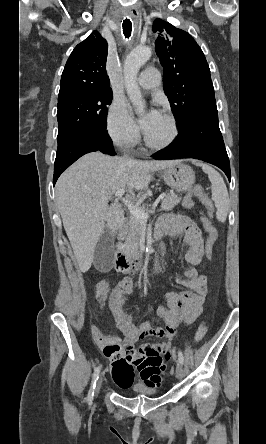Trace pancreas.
Returning <instances> with one entry per match:
<instances>
[{
  "label": "pancreas",
  "instance_id": "pancreas-1",
  "mask_svg": "<svg viewBox=\"0 0 266 444\" xmlns=\"http://www.w3.org/2000/svg\"><path fill=\"white\" fill-rule=\"evenodd\" d=\"M181 198L178 197L173 191L163 198L161 203V209L164 211H170L173 209L179 202ZM145 211V206L142 205L140 207ZM144 228V222L141 219L136 218L134 215L131 216L129 222V230L126 238L127 244L132 248V254L134 257H138L137 248L139 245V239L141 232Z\"/></svg>",
  "mask_w": 266,
  "mask_h": 444
}]
</instances>
